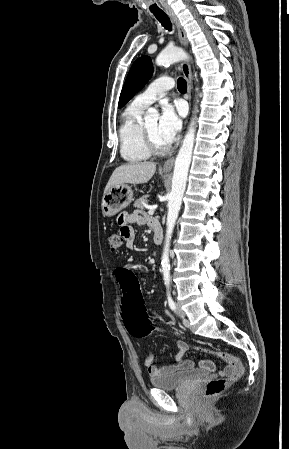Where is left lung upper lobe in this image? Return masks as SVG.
I'll use <instances>...</instances> for the list:
<instances>
[{"label":"left lung upper lobe","mask_w":289,"mask_h":449,"mask_svg":"<svg viewBox=\"0 0 289 449\" xmlns=\"http://www.w3.org/2000/svg\"><path fill=\"white\" fill-rule=\"evenodd\" d=\"M152 73L153 65L150 57H141L133 63L120 94L119 108L123 107L136 92L144 87Z\"/></svg>","instance_id":"obj_1"}]
</instances>
